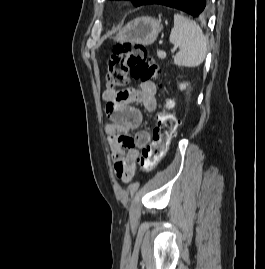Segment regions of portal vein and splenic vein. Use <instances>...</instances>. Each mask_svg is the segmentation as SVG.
I'll return each instance as SVG.
<instances>
[{
	"mask_svg": "<svg viewBox=\"0 0 265 269\" xmlns=\"http://www.w3.org/2000/svg\"><path fill=\"white\" fill-rule=\"evenodd\" d=\"M176 49H177V48H176V47H174V48L172 49V52H174Z\"/></svg>",
	"mask_w": 265,
	"mask_h": 269,
	"instance_id": "1",
	"label": "portal vein and splenic vein"
}]
</instances>
